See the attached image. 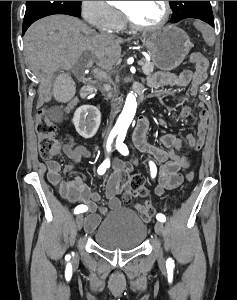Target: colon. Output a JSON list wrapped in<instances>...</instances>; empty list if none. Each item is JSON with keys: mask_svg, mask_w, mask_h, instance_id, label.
Listing matches in <instances>:
<instances>
[{"mask_svg": "<svg viewBox=\"0 0 237 300\" xmlns=\"http://www.w3.org/2000/svg\"><path fill=\"white\" fill-rule=\"evenodd\" d=\"M195 26L204 35L205 40L208 44L213 45L215 42L214 34L211 28L202 21H196ZM191 63L197 65H204L207 62L205 56L199 53H195L190 58ZM36 132L38 135V149L39 154L44 160H52L53 158L59 156L63 150V143L58 138L54 125L49 121L46 111L40 110L37 114V124ZM77 161V160H75ZM72 169V166L67 168ZM188 181L194 179V173L189 172L186 175ZM126 185L130 191L136 195L148 198L149 191L145 185L144 177L140 174H127L126 175ZM144 213L147 217H152L155 213L154 208L148 202L144 206Z\"/></svg>", "mask_w": 237, "mask_h": 300, "instance_id": "1", "label": "colon"}]
</instances>
